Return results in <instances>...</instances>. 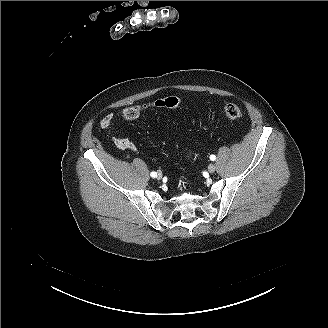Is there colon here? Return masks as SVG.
Listing matches in <instances>:
<instances>
[{"label": "colon", "mask_w": 328, "mask_h": 328, "mask_svg": "<svg viewBox=\"0 0 328 328\" xmlns=\"http://www.w3.org/2000/svg\"><path fill=\"white\" fill-rule=\"evenodd\" d=\"M179 99L175 96H169L155 100L148 104L134 105L127 107L122 112V118L125 121H133L137 119L143 111L153 107H167V108H176L179 106ZM225 115L232 120H236L242 117L241 109L233 104H227L224 107Z\"/></svg>", "instance_id": "colon-1"}]
</instances>
